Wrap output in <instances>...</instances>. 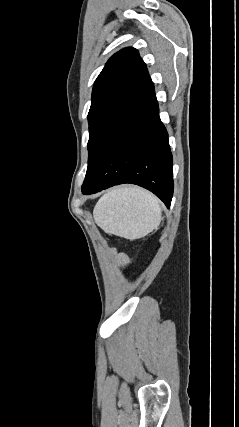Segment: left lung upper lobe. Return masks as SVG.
Segmentation results:
<instances>
[{
  "label": "left lung upper lobe",
  "mask_w": 239,
  "mask_h": 427,
  "mask_svg": "<svg viewBox=\"0 0 239 427\" xmlns=\"http://www.w3.org/2000/svg\"><path fill=\"white\" fill-rule=\"evenodd\" d=\"M154 96V85L136 49L124 48L108 60L93 86L88 168L82 189L113 136Z\"/></svg>",
  "instance_id": "obj_1"
}]
</instances>
